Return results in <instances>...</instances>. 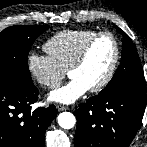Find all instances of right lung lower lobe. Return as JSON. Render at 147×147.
Wrapping results in <instances>:
<instances>
[{
    "label": "right lung lower lobe",
    "mask_w": 147,
    "mask_h": 147,
    "mask_svg": "<svg viewBox=\"0 0 147 147\" xmlns=\"http://www.w3.org/2000/svg\"><path fill=\"white\" fill-rule=\"evenodd\" d=\"M37 100L34 84L0 81V147H44L45 131L57 110L50 105L31 111Z\"/></svg>",
    "instance_id": "obj_1"
}]
</instances>
